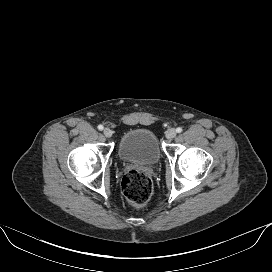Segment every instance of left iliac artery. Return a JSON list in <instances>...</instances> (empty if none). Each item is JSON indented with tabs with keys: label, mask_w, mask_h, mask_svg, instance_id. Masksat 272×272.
I'll return each instance as SVG.
<instances>
[{
	"label": "left iliac artery",
	"mask_w": 272,
	"mask_h": 272,
	"mask_svg": "<svg viewBox=\"0 0 272 272\" xmlns=\"http://www.w3.org/2000/svg\"><path fill=\"white\" fill-rule=\"evenodd\" d=\"M176 132H177V133H181V132H182V128H181V127H178V128L176 129Z\"/></svg>",
	"instance_id": "obj_1"
}]
</instances>
